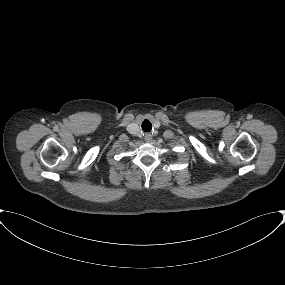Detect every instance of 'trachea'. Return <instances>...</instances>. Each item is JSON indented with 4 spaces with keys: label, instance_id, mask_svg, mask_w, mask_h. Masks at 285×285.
<instances>
[{
    "label": "trachea",
    "instance_id": "1",
    "mask_svg": "<svg viewBox=\"0 0 285 285\" xmlns=\"http://www.w3.org/2000/svg\"><path fill=\"white\" fill-rule=\"evenodd\" d=\"M142 129L145 132H149L152 129V124L149 120L145 119L142 123Z\"/></svg>",
    "mask_w": 285,
    "mask_h": 285
}]
</instances>
